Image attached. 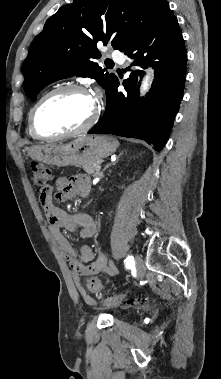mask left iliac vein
<instances>
[{
	"instance_id": "4c4485c4",
	"label": "left iliac vein",
	"mask_w": 221,
	"mask_h": 379,
	"mask_svg": "<svg viewBox=\"0 0 221 379\" xmlns=\"http://www.w3.org/2000/svg\"><path fill=\"white\" fill-rule=\"evenodd\" d=\"M135 267H136L137 279H142L145 275V265H144V261L139 255L136 256ZM122 299H123L122 295L118 297H114L112 299L107 300L104 305L113 306V305L118 304Z\"/></svg>"
}]
</instances>
